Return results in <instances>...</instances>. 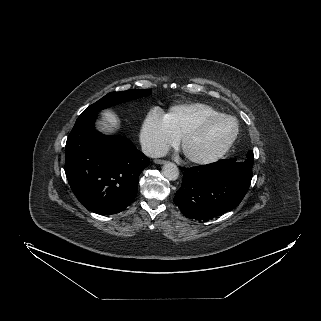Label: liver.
<instances>
[{"label":"liver","instance_id":"obj_1","mask_svg":"<svg viewBox=\"0 0 321 321\" xmlns=\"http://www.w3.org/2000/svg\"><path fill=\"white\" fill-rule=\"evenodd\" d=\"M99 128L105 133H112L119 128V120L115 114L110 111L103 113V121L99 123Z\"/></svg>","mask_w":321,"mask_h":321}]
</instances>
